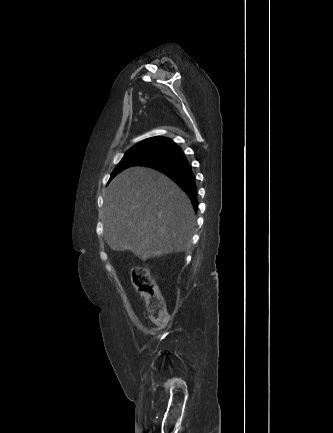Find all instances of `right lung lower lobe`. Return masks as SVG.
I'll return each instance as SVG.
<instances>
[{
  "label": "right lung lower lobe",
  "instance_id": "98d812e1",
  "mask_svg": "<svg viewBox=\"0 0 333 433\" xmlns=\"http://www.w3.org/2000/svg\"><path fill=\"white\" fill-rule=\"evenodd\" d=\"M162 143L164 146L171 148L172 151L168 155L145 163L142 166L158 169L170 177L189 195L194 209H197L198 202L195 176L186 156L182 153L181 148L172 140H163Z\"/></svg>",
  "mask_w": 333,
  "mask_h": 433
}]
</instances>
